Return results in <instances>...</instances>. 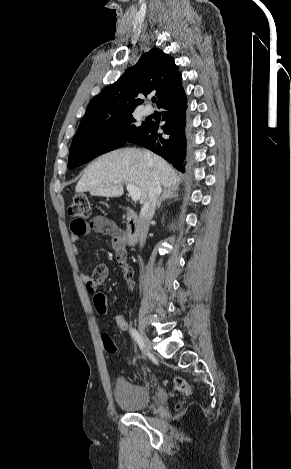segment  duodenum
<instances>
[{
	"label": "duodenum",
	"mask_w": 291,
	"mask_h": 469,
	"mask_svg": "<svg viewBox=\"0 0 291 469\" xmlns=\"http://www.w3.org/2000/svg\"><path fill=\"white\" fill-rule=\"evenodd\" d=\"M123 211L127 218V230L125 233V244L133 246L136 244L140 230V220L137 213L129 207H123Z\"/></svg>",
	"instance_id": "obj_1"
}]
</instances>
